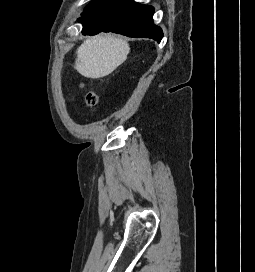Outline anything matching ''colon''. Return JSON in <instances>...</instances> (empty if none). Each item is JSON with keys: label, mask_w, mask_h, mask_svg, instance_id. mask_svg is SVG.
<instances>
[{"label": "colon", "mask_w": 255, "mask_h": 272, "mask_svg": "<svg viewBox=\"0 0 255 272\" xmlns=\"http://www.w3.org/2000/svg\"><path fill=\"white\" fill-rule=\"evenodd\" d=\"M85 101L88 106L95 107L98 102L97 95L92 91H86Z\"/></svg>", "instance_id": "colon-1"}]
</instances>
